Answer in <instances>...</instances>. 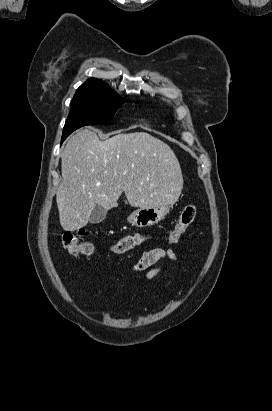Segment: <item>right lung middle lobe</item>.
Instances as JSON below:
<instances>
[{"label": "right lung middle lobe", "instance_id": "obj_1", "mask_svg": "<svg viewBox=\"0 0 272 411\" xmlns=\"http://www.w3.org/2000/svg\"><path fill=\"white\" fill-rule=\"evenodd\" d=\"M122 103L123 99L111 89L75 94L62 137L85 125L109 123Z\"/></svg>", "mask_w": 272, "mask_h": 411}]
</instances>
